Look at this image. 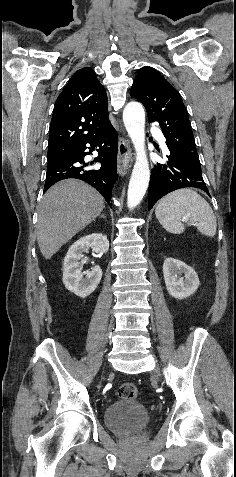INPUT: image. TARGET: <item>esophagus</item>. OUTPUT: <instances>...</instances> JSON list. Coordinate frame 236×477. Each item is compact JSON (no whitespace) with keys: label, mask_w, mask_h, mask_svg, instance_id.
Returning a JSON list of instances; mask_svg holds the SVG:
<instances>
[{"label":"esophagus","mask_w":236,"mask_h":477,"mask_svg":"<svg viewBox=\"0 0 236 477\" xmlns=\"http://www.w3.org/2000/svg\"><path fill=\"white\" fill-rule=\"evenodd\" d=\"M132 161V153L129 141L123 137L119 138L118 155H117V170L120 175L126 174Z\"/></svg>","instance_id":"34e87169"}]
</instances>
